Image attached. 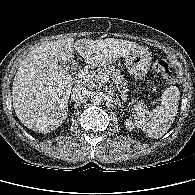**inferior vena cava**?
<instances>
[{
    "label": "inferior vena cava",
    "instance_id": "1",
    "mask_svg": "<svg viewBox=\"0 0 195 195\" xmlns=\"http://www.w3.org/2000/svg\"><path fill=\"white\" fill-rule=\"evenodd\" d=\"M71 94L72 100L76 103H85L91 97V92L84 87L73 88Z\"/></svg>",
    "mask_w": 195,
    "mask_h": 195
}]
</instances>
